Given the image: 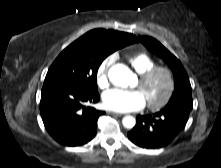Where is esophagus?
Listing matches in <instances>:
<instances>
[{"mask_svg":"<svg viewBox=\"0 0 221 168\" xmlns=\"http://www.w3.org/2000/svg\"><path fill=\"white\" fill-rule=\"evenodd\" d=\"M110 114H112V115H114V116H118V117L122 116L121 113H116V112H110Z\"/></svg>","mask_w":221,"mask_h":168,"instance_id":"esophagus-1","label":"esophagus"}]
</instances>
